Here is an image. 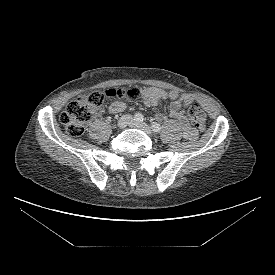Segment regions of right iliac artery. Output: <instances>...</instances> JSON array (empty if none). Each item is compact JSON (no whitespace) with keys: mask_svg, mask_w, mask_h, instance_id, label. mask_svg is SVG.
Wrapping results in <instances>:
<instances>
[{"mask_svg":"<svg viewBox=\"0 0 275 275\" xmlns=\"http://www.w3.org/2000/svg\"><path fill=\"white\" fill-rule=\"evenodd\" d=\"M134 120H135L136 122H142V121L144 120V116H143L141 113H136V114L134 115Z\"/></svg>","mask_w":275,"mask_h":275,"instance_id":"right-iliac-artery-1","label":"right iliac artery"}]
</instances>
